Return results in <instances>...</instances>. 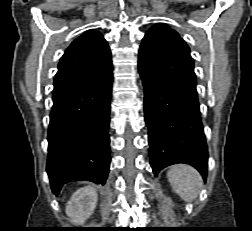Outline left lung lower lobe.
I'll use <instances>...</instances> for the list:
<instances>
[{"label":"left lung lower lobe","instance_id":"left-lung-lower-lobe-1","mask_svg":"<svg viewBox=\"0 0 252 231\" xmlns=\"http://www.w3.org/2000/svg\"><path fill=\"white\" fill-rule=\"evenodd\" d=\"M138 68L145 85V121L154 174L166 166L186 163L206 180L208 152L190 51L167 42L143 43Z\"/></svg>","mask_w":252,"mask_h":231}]
</instances>
